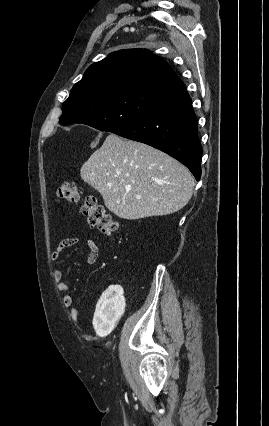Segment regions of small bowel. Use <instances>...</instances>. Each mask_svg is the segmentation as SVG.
<instances>
[{"instance_id": "c3829d8e", "label": "small bowel", "mask_w": 269, "mask_h": 426, "mask_svg": "<svg viewBox=\"0 0 269 426\" xmlns=\"http://www.w3.org/2000/svg\"><path fill=\"white\" fill-rule=\"evenodd\" d=\"M77 242H78V238L76 236H70V237H66V238L62 239L59 242L57 248L54 251L51 252V260L56 261L59 258L60 254L62 253V251L76 245ZM86 245H87V248L89 250V254L87 256V263L92 265L98 259L99 248H98L97 242L94 239H88L86 241ZM53 277H54V281L56 283L57 289L60 292H68L69 285L64 280L63 271L60 270V269L55 270ZM62 303L66 308L71 309V312L73 314L76 313V310L74 308L73 297L70 294H65L63 296Z\"/></svg>"}]
</instances>
